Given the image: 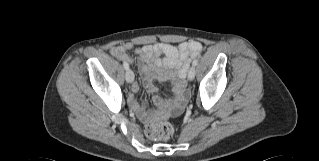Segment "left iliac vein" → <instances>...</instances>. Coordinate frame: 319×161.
<instances>
[{
  "instance_id": "obj_1",
  "label": "left iliac vein",
  "mask_w": 319,
  "mask_h": 161,
  "mask_svg": "<svg viewBox=\"0 0 319 161\" xmlns=\"http://www.w3.org/2000/svg\"><path fill=\"white\" fill-rule=\"evenodd\" d=\"M195 66H191L188 71V79L192 81L195 78Z\"/></svg>"
}]
</instances>
